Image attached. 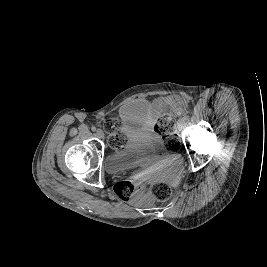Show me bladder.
<instances>
[{
	"instance_id": "31cf9c89",
	"label": "bladder",
	"mask_w": 267,
	"mask_h": 267,
	"mask_svg": "<svg viewBox=\"0 0 267 267\" xmlns=\"http://www.w3.org/2000/svg\"><path fill=\"white\" fill-rule=\"evenodd\" d=\"M160 156L158 141L131 138L121 149L106 155L105 167L111 173L135 170L157 161Z\"/></svg>"
}]
</instances>
